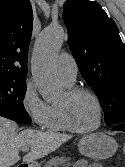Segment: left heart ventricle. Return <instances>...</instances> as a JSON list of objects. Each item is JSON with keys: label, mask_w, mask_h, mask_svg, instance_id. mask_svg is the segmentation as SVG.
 <instances>
[{"label": "left heart ventricle", "mask_w": 125, "mask_h": 167, "mask_svg": "<svg viewBox=\"0 0 125 167\" xmlns=\"http://www.w3.org/2000/svg\"><path fill=\"white\" fill-rule=\"evenodd\" d=\"M66 101V93L60 98L58 104ZM72 121L81 129H88L98 122V109L94 100L88 95H79L69 102Z\"/></svg>", "instance_id": "b2bd125f"}]
</instances>
